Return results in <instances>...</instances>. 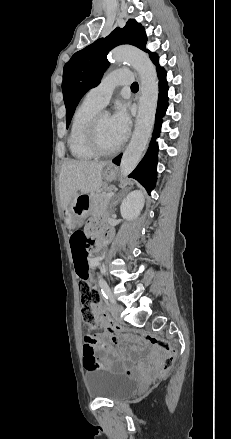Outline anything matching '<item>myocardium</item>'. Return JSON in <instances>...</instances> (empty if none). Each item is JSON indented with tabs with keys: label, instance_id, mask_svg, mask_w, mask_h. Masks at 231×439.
<instances>
[{
	"label": "myocardium",
	"instance_id": "myocardium-1",
	"mask_svg": "<svg viewBox=\"0 0 231 439\" xmlns=\"http://www.w3.org/2000/svg\"><path fill=\"white\" fill-rule=\"evenodd\" d=\"M104 113L105 112L98 111L93 115L86 130V140L89 147L91 148V150L94 152L95 155L110 156L117 153L121 149L122 145L119 144L112 149H105L101 146L99 142L98 129H99L100 117Z\"/></svg>",
	"mask_w": 231,
	"mask_h": 439
}]
</instances>
